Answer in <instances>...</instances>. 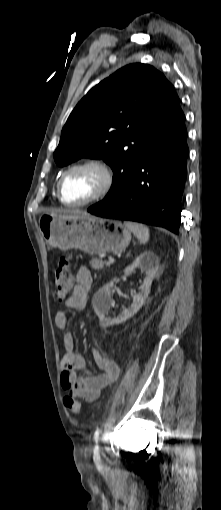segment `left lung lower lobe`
Returning a JSON list of instances; mask_svg holds the SVG:
<instances>
[{
	"label": "left lung lower lobe",
	"instance_id": "left-lung-lower-lobe-1",
	"mask_svg": "<svg viewBox=\"0 0 221 510\" xmlns=\"http://www.w3.org/2000/svg\"><path fill=\"white\" fill-rule=\"evenodd\" d=\"M188 154L185 129L152 147L128 186L111 201L91 206L88 212L160 226L178 234Z\"/></svg>",
	"mask_w": 221,
	"mask_h": 510
}]
</instances>
